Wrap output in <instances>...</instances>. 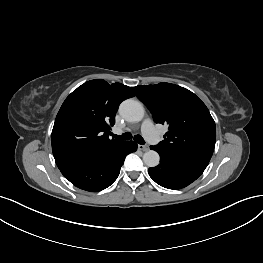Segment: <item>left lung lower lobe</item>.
<instances>
[{
  "label": "left lung lower lobe",
  "instance_id": "1",
  "mask_svg": "<svg viewBox=\"0 0 263 263\" xmlns=\"http://www.w3.org/2000/svg\"><path fill=\"white\" fill-rule=\"evenodd\" d=\"M150 148L155 150L152 146ZM159 155L160 164L154 168H149L148 173L157 184L168 189H181L188 186L206 168L175 160L162 153H159Z\"/></svg>",
  "mask_w": 263,
  "mask_h": 263
}]
</instances>
